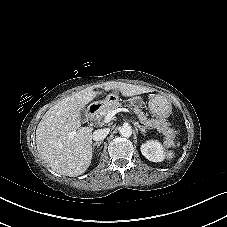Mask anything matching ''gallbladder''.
I'll return each instance as SVG.
<instances>
[{"instance_id":"1","label":"gallbladder","mask_w":227,"mask_h":227,"mask_svg":"<svg viewBox=\"0 0 227 227\" xmlns=\"http://www.w3.org/2000/svg\"><path fill=\"white\" fill-rule=\"evenodd\" d=\"M85 114H86V110L85 109H82L81 112H80V118L81 119H84Z\"/></svg>"}]
</instances>
